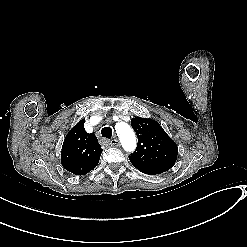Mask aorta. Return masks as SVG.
Listing matches in <instances>:
<instances>
[{
	"instance_id": "aorta-1",
	"label": "aorta",
	"mask_w": 247,
	"mask_h": 247,
	"mask_svg": "<svg viewBox=\"0 0 247 247\" xmlns=\"http://www.w3.org/2000/svg\"><path fill=\"white\" fill-rule=\"evenodd\" d=\"M117 135L126 151H133L136 147V137L132 128L125 122L116 126Z\"/></svg>"
}]
</instances>
